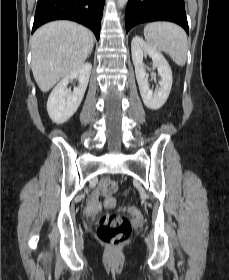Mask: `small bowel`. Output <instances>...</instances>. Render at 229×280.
Returning <instances> with one entry per match:
<instances>
[{"label": "small bowel", "mask_w": 229, "mask_h": 280, "mask_svg": "<svg viewBox=\"0 0 229 280\" xmlns=\"http://www.w3.org/2000/svg\"><path fill=\"white\" fill-rule=\"evenodd\" d=\"M104 193L101 186H97L91 191L90 194V200L87 206V212L88 213H95L99 210L100 204H99V198L100 195ZM104 206L107 209H112L116 206V202L114 198L106 197Z\"/></svg>", "instance_id": "small-bowel-1"}]
</instances>
